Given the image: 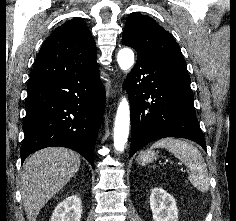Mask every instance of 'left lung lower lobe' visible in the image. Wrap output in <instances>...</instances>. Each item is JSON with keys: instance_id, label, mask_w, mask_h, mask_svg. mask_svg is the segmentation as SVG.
<instances>
[{"instance_id": "1", "label": "left lung lower lobe", "mask_w": 236, "mask_h": 221, "mask_svg": "<svg viewBox=\"0 0 236 221\" xmlns=\"http://www.w3.org/2000/svg\"><path fill=\"white\" fill-rule=\"evenodd\" d=\"M124 87L131 105L130 157L149 142L164 137L187 138L206 150L188 74L137 56Z\"/></svg>"}]
</instances>
